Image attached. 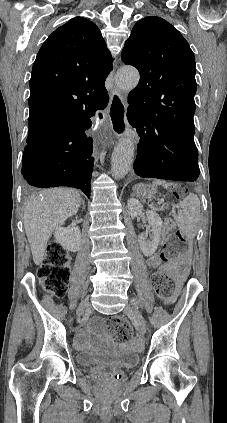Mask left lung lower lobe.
<instances>
[{"mask_svg": "<svg viewBox=\"0 0 227 423\" xmlns=\"http://www.w3.org/2000/svg\"><path fill=\"white\" fill-rule=\"evenodd\" d=\"M193 115L173 110L146 111L129 105L128 121L141 137L134 162L138 176L177 181L198 178Z\"/></svg>", "mask_w": 227, "mask_h": 423, "instance_id": "0a47b994", "label": "left lung lower lobe"}]
</instances>
